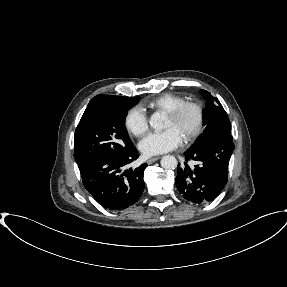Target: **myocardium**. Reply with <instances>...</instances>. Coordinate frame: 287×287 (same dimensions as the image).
I'll return each instance as SVG.
<instances>
[{
  "label": "myocardium",
  "mask_w": 287,
  "mask_h": 287,
  "mask_svg": "<svg viewBox=\"0 0 287 287\" xmlns=\"http://www.w3.org/2000/svg\"><path fill=\"white\" fill-rule=\"evenodd\" d=\"M193 111L196 116L195 124L188 132L184 141L187 143L196 140L203 131L205 125V109L202 104L195 101H185L181 105L177 106L173 110L167 112V116L173 120H178L187 111Z\"/></svg>",
  "instance_id": "f54148a6"
}]
</instances>
